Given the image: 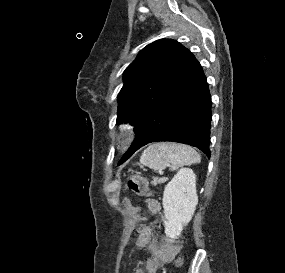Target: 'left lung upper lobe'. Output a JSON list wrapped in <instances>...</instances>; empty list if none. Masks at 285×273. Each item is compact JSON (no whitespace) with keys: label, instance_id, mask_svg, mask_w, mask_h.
Masks as SVG:
<instances>
[{"label":"left lung upper lobe","instance_id":"obj_1","mask_svg":"<svg viewBox=\"0 0 285 273\" xmlns=\"http://www.w3.org/2000/svg\"><path fill=\"white\" fill-rule=\"evenodd\" d=\"M190 54L170 39L157 40L141 50L123 73L116 122L136 125L175 84Z\"/></svg>","mask_w":285,"mask_h":273}]
</instances>
